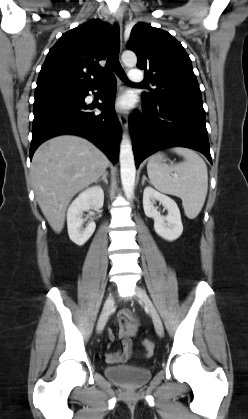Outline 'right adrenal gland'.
<instances>
[{
	"label": "right adrenal gland",
	"instance_id": "right-adrenal-gland-1",
	"mask_svg": "<svg viewBox=\"0 0 248 419\" xmlns=\"http://www.w3.org/2000/svg\"><path fill=\"white\" fill-rule=\"evenodd\" d=\"M107 176H108V171L105 170L104 173H103V175H102V177L100 179H98L96 181V183L103 180L106 184H108Z\"/></svg>",
	"mask_w": 248,
	"mask_h": 419
}]
</instances>
